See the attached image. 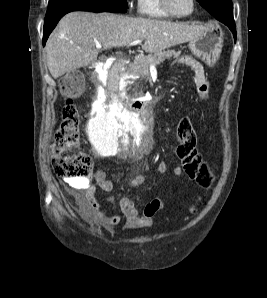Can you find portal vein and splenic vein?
I'll return each mask as SVG.
<instances>
[{
  "mask_svg": "<svg viewBox=\"0 0 267 298\" xmlns=\"http://www.w3.org/2000/svg\"><path fill=\"white\" fill-rule=\"evenodd\" d=\"M141 42H142L141 39L134 40V41H132V42L129 43V46L137 45V44H139V43H141ZM96 48H101V45L97 44V45H96ZM150 68H151V69H154L155 66H154L153 64H151V65H150Z\"/></svg>",
  "mask_w": 267,
  "mask_h": 298,
  "instance_id": "portal-vein-and-splenic-vein-1",
  "label": "portal vein and splenic vein"
}]
</instances>
